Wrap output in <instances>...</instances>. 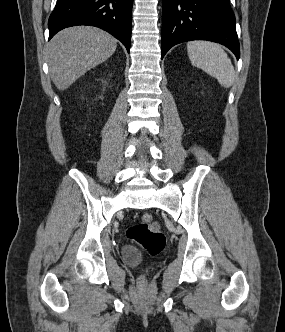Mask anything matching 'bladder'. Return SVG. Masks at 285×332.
<instances>
[{
	"label": "bladder",
	"mask_w": 285,
	"mask_h": 332,
	"mask_svg": "<svg viewBox=\"0 0 285 332\" xmlns=\"http://www.w3.org/2000/svg\"><path fill=\"white\" fill-rule=\"evenodd\" d=\"M121 258L128 264H136L141 259L140 251L129 244L123 245L120 249Z\"/></svg>",
	"instance_id": "obj_1"
}]
</instances>
